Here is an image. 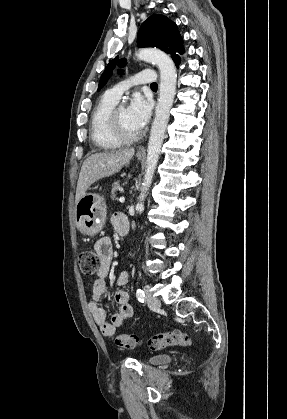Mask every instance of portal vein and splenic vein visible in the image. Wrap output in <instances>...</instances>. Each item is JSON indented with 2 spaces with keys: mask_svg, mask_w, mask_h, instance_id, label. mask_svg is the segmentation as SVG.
Listing matches in <instances>:
<instances>
[{
  "mask_svg": "<svg viewBox=\"0 0 287 419\" xmlns=\"http://www.w3.org/2000/svg\"><path fill=\"white\" fill-rule=\"evenodd\" d=\"M119 201H120V202H124V201H125V197H124V196L120 197V198H119Z\"/></svg>",
  "mask_w": 287,
  "mask_h": 419,
  "instance_id": "1",
  "label": "portal vein and splenic vein"
}]
</instances>
